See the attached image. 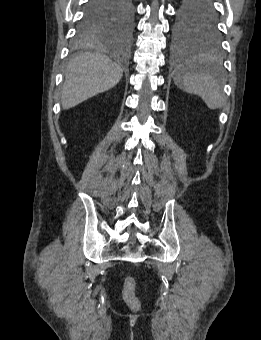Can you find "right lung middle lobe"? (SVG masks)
<instances>
[{"label": "right lung middle lobe", "mask_w": 261, "mask_h": 340, "mask_svg": "<svg viewBox=\"0 0 261 340\" xmlns=\"http://www.w3.org/2000/svg\"><path fill=\"white\" fill-rule=\"evenodd\" d=\"M134 24V8L131 0H125V7L116 16L96 15L82 19L75 45L82 46L97 41L128 40Z\"/></svg>", "instance_id": "right-lung-middle-lobe-1"}]
</instances>
